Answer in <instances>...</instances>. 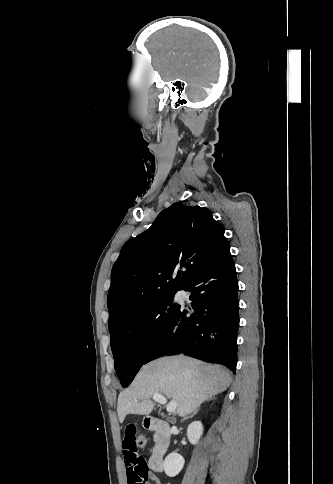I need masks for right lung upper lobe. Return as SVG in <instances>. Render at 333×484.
Returning <instances> with one entry per match:
<instances>
[{
	"label": "right lung upper lobe",
	"instance_id": "obj_1",
	"mask_svg": "<svg viewBox=\"0 0 333 484\" xmlns=\"http://www.w3.org/2000/svg\"><path fill=\"white\" fill-rule=\"evenodd\" d=\"M210 211L174 203L129 240L111 272L109 325L134 308L182 290L229 242Z\"/></svg>",
	"mask_w": 333,
	"mask_h": 484
}]
</instances>
